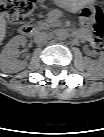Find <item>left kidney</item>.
I'll return each mask as SVG.
<instances>
[{"instance_id": "left-kidney-1", "label": "left kidney", "mask_w": 104, "mask_h": 137, "mask_svg": "<svg viewBox=\"0 0 104 137\" xmlns=\"http://www.w3.org/2000/svg\"><path fill=\"white\" fill-rule=\"evenodd\" d=\"M96 65L98 66L99 69H103V59H102V53H101V59H99L97 62H96Z\"/></svg>"}]
</instances>
